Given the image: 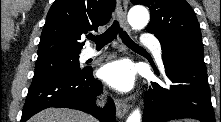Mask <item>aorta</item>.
Listing matches in <instances>:
<instances>
[{"instance_id":"1","label":"aorta","mask_w":221,"mask_h":122,"mask_svg":"<svg viewBox=\"0 0 221 122\" xmlns=\"http://www.w3.org/2000/svg\"><path fill=\"white\" fill-rule=\"evenodd\" d=\"M128 22L135 30L145 28L149 22L148 10L142 5L133 6L128 13ZM127 122H141V113L135 109L127 118Z\"/></svg>"}]
</instances>
